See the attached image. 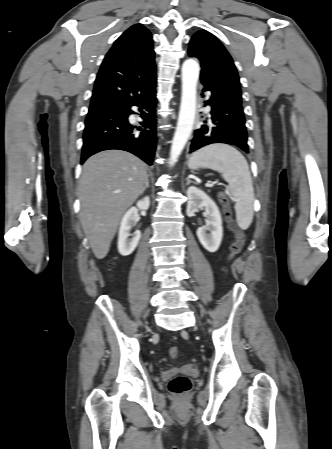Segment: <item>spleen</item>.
<instances>
[{
    "label": "spleen",
    "mask_w": 332,
    "mask_h": 449,
    "mask_svg": "<svg viewBox=\"0 0 332 449\" xmlns=\"http://www.w3.org/2000/svg\"><path fill=\"white\" fill-rule=\"evenodd\" d=\"M188 166L192 169L209 168L222 174L236 199L237 224L243 230L249 228L254 216V189L243 155L229 145L212 144L193 153Z\"/></svg>",
    "instance_id": "spleen-1"
}]
</instances>
